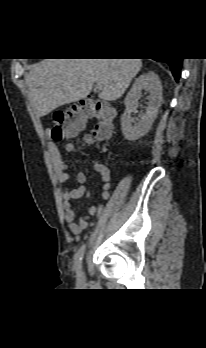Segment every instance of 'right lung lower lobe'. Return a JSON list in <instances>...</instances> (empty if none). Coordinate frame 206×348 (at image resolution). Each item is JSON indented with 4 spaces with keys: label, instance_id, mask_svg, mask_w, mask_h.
I'll return each instance as SVG.
<instances>
[{
    "label": "right lung lower lobe",
    "instance_id": "1",
    "mask_svg": "<svg viewBox=\"0 0 206 348\" xmlns=\"http://www.w3.org/2000/svg\"><path fill=\"white\" fill-rule=\"evenodd\" d=\"M157 61H164L169 64L172 74L176 81L179 80V76L181 73V65H182V59L181 58H166L162 60Z\"/></svg>",
    "mask_w": 206,
    "mask_h": 348
}]
</instances>
